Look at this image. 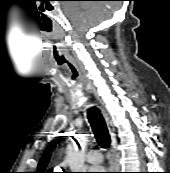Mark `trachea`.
I'll list each match as a JSON object with an SVG mask.
<instances>
[{"instance_id": "3493384b", "label": "trachea", "mask_w": 170, "mask_h": 173, "mask_svg": "<svg viewBox=\"0 0 170 173\" xmlns=\"http://www.w3.org/2000/svg\"><path fill=\"white\" fill-rule=\"evenodd\" d=\"M87 118L92 127L97 143L103 148H108L111 143V139L107 125L100 110L96 107L88 109Z\"/></svg>"}]
</instances>
